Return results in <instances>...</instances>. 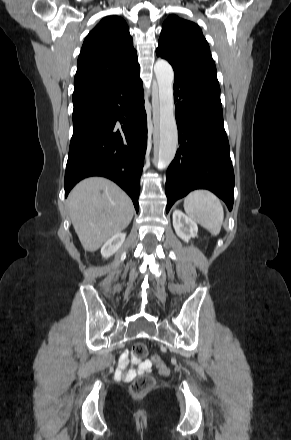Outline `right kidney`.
<instances>
[{
  "label": "right kidney",
  "instance_id": "obj_1",
  "mask_svg": "<svg viewBox=\"0 0 291 440\" xmlns=\"http://www.w3.org/2000/svg\"><path fill=\"white\" fill-rule=\"evenodd\" d=\"M126 234L118 232L108 239L101 248V255L108 258L116 253L125 241Z\"/></svg>",
  "mask_w": 291,
  "mask_h": 440
}]
</instances>
